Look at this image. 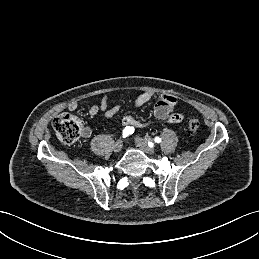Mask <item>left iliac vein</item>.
Returning a JSON list of instances; mask_svg holds the SVG:
<instances>
[{"mask_svg": "<svg viewBox=\"0 0 259 259\" xmlns=\"http://www.w3.org/2000/svg\"><path fill=\"white\" fill-rule=\"evenodd\" d=\"M136 145L141 148L143 151H145L147 154L153 155L155 153L154 148L150 147L146 140L136 137L135 138Z\"/></svg>", "mask_w": 259, "mask_h": 259, "instance_id": "obj_1", "label": "left iliac vein"}]
</instances>
